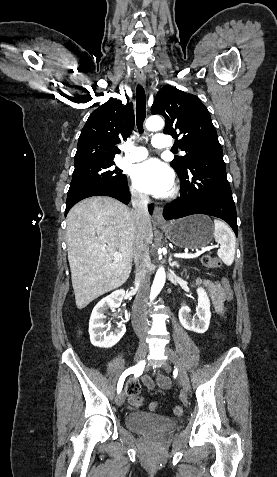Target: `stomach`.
<instances>
[{
  "label": "stomach",
  "instance_id": "0dacf381",
  "mask_svg": "<svg viewBox=\"0 0 277 477\" xmlns=\"http://www.w3.org/2000/svg\"><path fill=\"white\" fill-rule=\"evenodd\" d=\"M161 229L173 244L189 250L207 246L214 236L212 221L205 215H191L174 220Z\"/></svg>",
  "mask_w": 277,
  "mask_h": 477
}]
</instances>
